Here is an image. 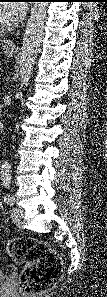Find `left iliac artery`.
Here are the masks:
<instances>
[{
	"mask_svg": "<svg viewBox=\"0 0 107 297\" xmlns=\"http://www.w3.org/2000/svg\"><path fill=\"white\" fill-rule=\"evenodd\" d=\"M4 201L8 204V205H13L14 202H15V198L14 196L10 195V194H7L5 197H4Z\"/></svg>",
	"mask_w": 107,
	"mask_h": 297,
	"instance_id": "left-iliac-artery-1",
	"label": "left iliac artery"
}]
</instances>
